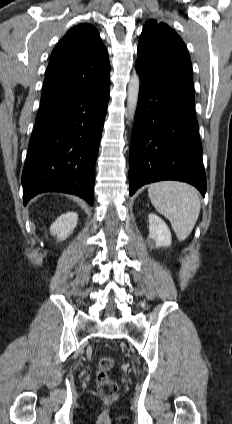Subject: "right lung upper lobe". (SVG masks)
Returning a JSON list of instances; mask_svg holds the SVG:
<instances>
[{
  "instance_id": "right-lung-upper-lobe-1",
  "label": "right lung upper lobe",
  "mask_w": 232,
  "mask_h": 424,
  "mask_svg": "<svg viewBox=\"0 0 232 424\" xmlns=\"http://www.w3.org/2000/svg\"><path fill=\"white\" fill-rule=\"evenodd\" d=\"M108 52L88 23L70 29L51 54L41 101L76 94L110 83Z\"/></svg>"
}]
</instances>
